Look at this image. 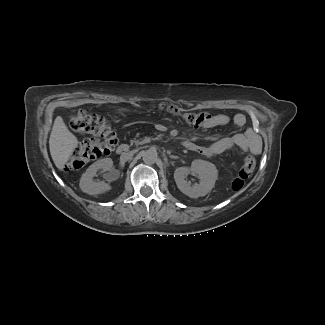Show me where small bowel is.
<instances>
[{
	"label": "small bowel",
	"mask_w": 325,
	"mask_h": 325,
	"mask_svg": "<svg viewBox=\"0 0 325 325\" xmlns=\"http://www.w3.org/2000/svg\"><path fill=\"white\" fill-rule=\"evenodd\" d=\"M207 122L202 126L204 132H208L215 127L224 126L233 123L236 127H243L246 122V118L243 114H235L233 116L227 114H208ZM188 149L198 151L205 156H217L228 150L239 149L242 152L253 151L252 141L246 133H237L231 137L220 138L217 141L207 146H196L189 144Z\"/></svg>",
	"instance_id": "small-bowel-1"
}]
</instances>
